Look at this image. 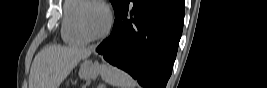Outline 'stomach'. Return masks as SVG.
Here are the masks:
<instances>
[{"label":"stomach","mask_w":267,"mask_h":88,"mask_svg":"<svg viewBox=\"0 0 267 88\" xmlns=\"http://www.w3.org/2000/svg\"><path fill=\"white\" fill-rule=\"evenodd\" d=\"M102 65L92 60H84L80 66L79 76L81 79L90 80L101 74Z\"/></svg>","instance_id":"1"}]
</instances>
